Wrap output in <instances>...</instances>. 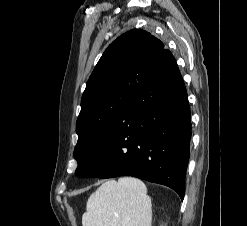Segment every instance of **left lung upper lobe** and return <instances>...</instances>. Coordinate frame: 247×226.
I'll use <instances>...</instances> for the list:
<instances>
[{"instance_id": "left-lung-upper-lobe-1", "label": "left lung upper lobe", "mask_w": 247, "mask_h": 226, "mask_svg": "<svg viewBox=\"0 0 247 226\" xmlns=\"http://www.w3.org/2000/svg\"><path fill=\"white\" fill-rule=\"evenodd\" d=\"M163 50L164 44L159 39L140 29L122 34L105 50L81 99L76 123L78 141L73 154L78 177Z\"/></svg>"}]
</instances>
